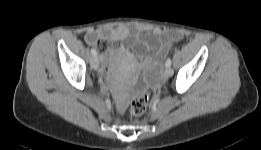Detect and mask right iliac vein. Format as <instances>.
<instances>
[{
  "label": "right iliac vein",
  "instance_id": "63e3f726",
  "mask_svg": "<svg viewBox=\"0 0 261 150\" xmlns=\"http://www.w3.org/2000/svg\"><path fill=\"white\" fill-rule=\"evenodd\" d=\"M90 65L94 70H97L99 67V61L98 58L96 56H93L91 61H90Z\"/></svg>",
  "mask_w": 261,
  "mask_h": 150
}]
</instances>
